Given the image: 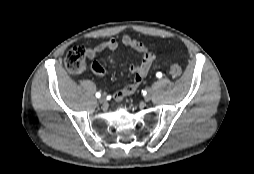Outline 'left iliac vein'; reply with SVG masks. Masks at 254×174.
I'll return each mask as SVG.
<instances>
[{"label": "left iliac vein", "instance_id": "obj_1", "mask_svg": "<svg viewBox=\"0 0 254 174\" xmlns=\"http://www.w3.org/2000/svg\"><path fill=\"white\" fill-rule=\"evenodd\" d=\"M151 98H152V89H149V90L147 91V94H146V96L144 97V99H145V101H150Z\"/></svg>", "mask_w": 254, "mask_h": 174}]
</instances>
